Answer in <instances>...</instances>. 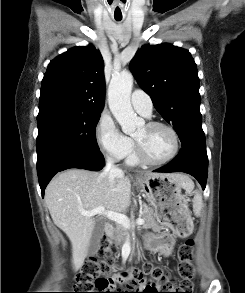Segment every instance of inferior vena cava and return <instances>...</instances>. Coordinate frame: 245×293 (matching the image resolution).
<instances>
[{"label": "inferior vena cava", "mask_w": 245, "mask_h": 293, "mask_svg": "<svg viewBox=\"0 0 245 293\" xmlns=\"http://www.w3.org/2000/svg\"><path fill=\"white\" fill-rule=\"evenodd\" d=\"M121 172L122 171L111 160H107L103 173L108 174L109 182L113 183Z\"/></svg>", "instance_id": "inferior-vena-cava-1"}]
</instances>
